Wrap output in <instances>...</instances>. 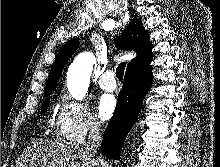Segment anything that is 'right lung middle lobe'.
Segmentation results:
<instances>
[{"instance_id": "obj_1", "label": "right lung middle lobe", "mask_w": 220, "mask_h": 167, "mask_svg": "<svg viewBox=\"0 0 220 167\" xmlns=\"http://www.w3.org/2000/svg\"><path fill=\"white\" fill-rule=\"evenodd\" d=\"M48 104H49V100H46L43 105H42V108H41V113L42 114H45L46 110H47V107H48Z\"/></svg>"}]
</instances>
